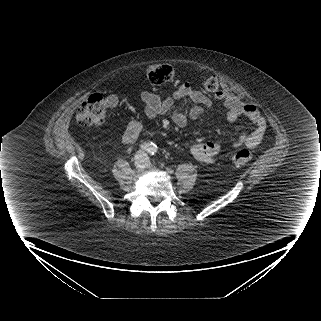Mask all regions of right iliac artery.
<instances>
[{
    "label": "right iliac artery",
    "mask_w": 321,
    "mask_h": 321,
    "mask_svg": "<svg viewBox=\"0 0 321 321\" xmlns=\"http://www.w3.org/2000/svg\"><path fill=\"white\" fill-rule=\"evenodd\" d=\"M141 150L145 151V152H150L151 148H152V144L149 143H144L140 145Z\"/></svg>",
    "instance_id": "right-iliac-artery-1"
}]
</instances>
